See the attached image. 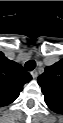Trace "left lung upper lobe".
<instances>
[{
    "label": "left lung upper lobe",
    "instance_id": "obj_1",
    "mask_svg": "<svg viewBox=\"0 0 63 123\" xmlns=\"http://www.w3.org/2000/svg\"><path fill=\"white\" fill-rule=\"evenodd\" d=\"M47 106L54 112H61L63 107V67L59 62L47 66L38 77Z\"/></svg>",
    "mask_w": 63,
    "mask_h": 123
}]
</instances>
